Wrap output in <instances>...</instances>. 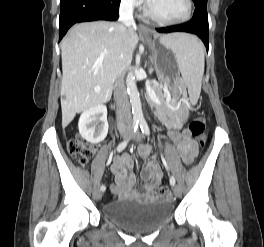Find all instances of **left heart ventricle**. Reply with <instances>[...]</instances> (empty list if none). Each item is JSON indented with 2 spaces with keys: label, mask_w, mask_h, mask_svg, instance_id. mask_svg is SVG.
Segmentation results:
<instances>
[{
  "label": "left heart ventricle",
  "mask_w": 264,
  "mask_h": 247,
  "mask_svg": "<svg viewBox=\"0 0 264 247\" xmlns=\"http://www.w3.org/2000/svg\"><path fill=\"white\" fill-rule=\"evenodd\" d=\"M156 15L163 19L174 20L185 15V0H155L151 5Z\"/></svg>",
  "instance_id": "1"
}]
</instances>
